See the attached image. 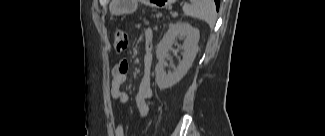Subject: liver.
<instances>
[{
  "label": "liver",
  "mask_w": 325,
  "mask_h": 136,
  "mask_svg": "<svg viewBox=\"0 0 325 136\" xmlns=\"http://www.w3.org/2000/svg\"><path fill=\"white\" fill-rule=\"evenodd\" d=\"M110 10H111V12H112V3H111V5H110Z\"/></svg>",
  "instance_id": "6515ba94"
}]
</instances>
